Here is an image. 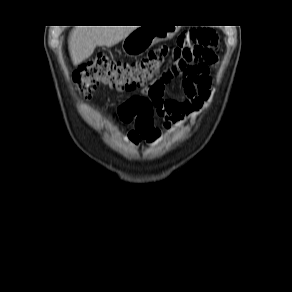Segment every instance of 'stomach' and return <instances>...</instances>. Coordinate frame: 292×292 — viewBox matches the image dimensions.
I'll list each match as a JSON object with an SVG mask.
<instances>
[{"mask_svg": "<svg viewBox=\"0 0 292 292\" xmlns=\"http://www.w3.org/2000/svg\"><path fill=\"white\" fill-rule=\"evenodd\" d=\"M177 29L169 31L159 30L154 26L138 27L124 38L123 52L128 56L142 55L153 45L163 40L168 35H173Z\"/></svg>", "mask_w": 292, "mask_h": 292, "instance_id": "stomach-1", "label": "stomach"}]
</instances>
